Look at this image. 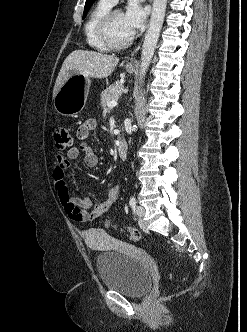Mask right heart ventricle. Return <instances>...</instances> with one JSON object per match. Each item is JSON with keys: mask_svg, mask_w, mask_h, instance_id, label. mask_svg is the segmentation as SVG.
Segmentation results:
<instances>
[{"mask_svg": "<svg viewBox=\"0 0 247 332\" xmlns=\"http://www.w3.org/2000/svg\"><path fill=\"white\" fill-rule=\"evenodd\" d=\"M112 5L105 0H99L91 10L85 25L84 34L87 45L97 51L106 52L109 48L100 40L97 27L101 18L111 9Z\"/></svg>", "mask_w": 247, "mask_h": 332, "instance_id": "right-heart-ventricle-1", "label": "right heart ventricle"}]
</instances>
